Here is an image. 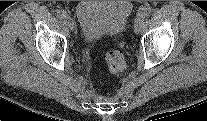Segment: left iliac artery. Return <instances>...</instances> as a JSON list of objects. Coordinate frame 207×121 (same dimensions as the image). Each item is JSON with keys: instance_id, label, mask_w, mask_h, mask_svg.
Here are the masks:
<instances>
[{"instance_id": "1", "label": "left iliac artery", "mask_w": 207, "mask_h": 121, "mask_svg": "<svg viewBox=\"0 0 207 121\" xmlns=\"http://www.w3.org/2000/svg\"><path fill=\"white\" fill-rule=\"evenodd\" d=\"M151 12H152V9L150 7H145L140 11L139 15L145 18V17H148L151 14Z\"/></svg>"}]
</instances>
